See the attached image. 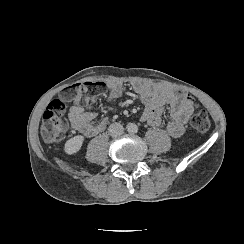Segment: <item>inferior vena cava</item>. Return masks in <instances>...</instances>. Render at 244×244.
<instances>
[{
  "label": "inferior vena cava",
  "mask_w": 244,
  "mask_h": 244,
  "mask_svg": "<svg viewBox=\"0 0 244 244\" xmlns=\"http://www.w3.org/2000/svg\"><path fill=\"white\" fill-rule=\"evenodd\" d=\"M124 128L120 123H113L109 126V134L111 137H118L122 135Z\"/></svg>",
  "instance_id": "1"
}]
</instances>
